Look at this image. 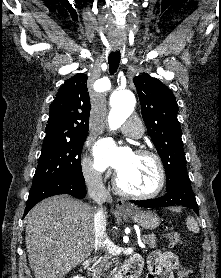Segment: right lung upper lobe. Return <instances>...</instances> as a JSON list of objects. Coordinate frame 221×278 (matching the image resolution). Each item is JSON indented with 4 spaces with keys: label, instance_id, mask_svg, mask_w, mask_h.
<instances>
[{
    "label": "right lung upper lobe",
    "instance_id": "cb5924a9",
    "mask_svg": "<svg viewBox=\"0 0 221 278\" xmlns=\"http://www.w3.org/2000/svg\"><path fill=\"white\" fill-rule=\"evenodd\" d=\"M90 97L87 75L76 74L61 86L50 105L44 142L87 135Z\"/></svg>",
    "mask_w": 221,
    "mask_h": 278
}]
</instances>
